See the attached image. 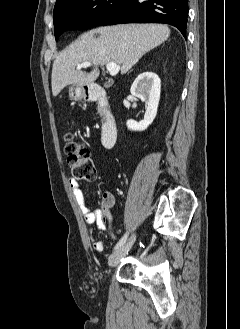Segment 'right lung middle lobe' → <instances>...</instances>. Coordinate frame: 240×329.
Wrapping results in <instances>:
<instances>
[{"label": "right lung middle lobe", "instance_id": "right-lung-middle-lobe-1", "mask_svg": "<svg viewBox=\"0 0 240 329\" xmlns=\"http://www.w3.org/2000/svg\"><path fill=\"white\" fill-rule=\"evenodd\" d=\"M126 0H69L54 9V34L70 29H88L101 25Z\"/></svg>", "mask_w": 240, "mask_h": 329}]
</instances>
